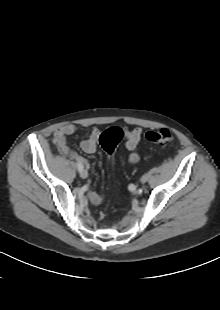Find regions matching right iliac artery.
<instances>
[{
    "label": "right iliac artery",
    "mask_w": 220,
    "mask_h": 310,
    "mask_svg": "<svg viewBox=\"0 0 220 310\" xmlns=\"http://www.w3.org/2000/svg\"><path fill=\"white\" fill-rule=\"evenodd\" d=\"M77 168H78V171H82L83 170V164L79 161H77Z\"/></svg>",
    "instance_id": "right-iliac-artery-1"
}]
</instances>
